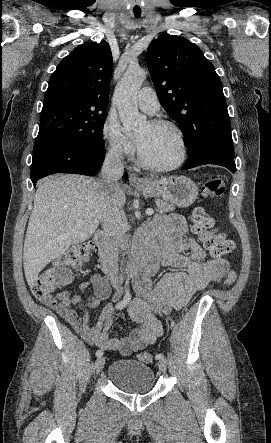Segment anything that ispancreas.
Returning a JSON list of instances; mask_svg holds the SVG:
<instances>
[{
  "instance_id": "pancreas-1",
  "label": "pancreas",
  "mask_w": 271,
  "mask_h": 443,
  "mask_svg": "<svg viewBox=\"0 0 271 443\" xmlns=\"http://www.w3.org/2000/svg\"><path fill=\"white\" fill-rule=\"evenodd\" d=\"M156 206L157 212H161V214H164V212H172V210H175V206H173V204H170V202H165V200H157ZM126 245H128V243H121L122 249H125Z\"/></svg>"
}]
</instances>
